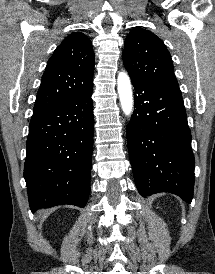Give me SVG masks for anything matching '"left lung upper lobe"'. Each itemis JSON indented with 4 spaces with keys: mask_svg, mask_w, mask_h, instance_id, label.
I'll use <instances>...</instances> for the list:
<instances>
[{
    "mask_svg": "<svg viewBox=\"0 0 215 274\" xmlns=\"http://www.w3.org/2000/svg\"><path fill=\"white\" fill-rule=\"evenodd\" d=\"M123 61L130 77L181 95L171 55L154 33L133 28L125 39Z\"/></svg>",
    "mask_w": 215,
    "mask_h": 274,
    "instance_id": "1",
    "label": "left lung upper lobe"
}]
</instances>
